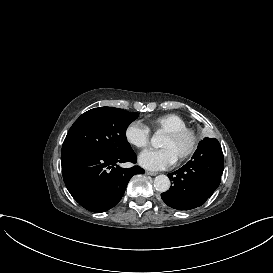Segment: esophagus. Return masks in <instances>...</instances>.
Wrapping results in <instances>:
<instances>
[{"mask_svg":"<svg viewBox=\"0 0 273 273\" xmlns=\"http://www.w3.org/2000/svg\"><path fill=\"white\" fill-rule=\"evenodd\" d=\"M146 175H150V176H156L158 173L157 172H152V171H145Z\"/></svg>","mask_w":273,"mask_h":273,"instance_id":"34e87169","label":"esophagus"}]
</instances>
